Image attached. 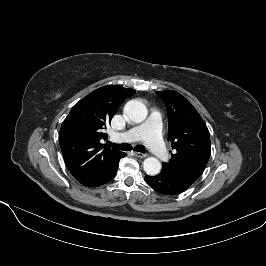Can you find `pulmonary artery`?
Instances as JSON below:
<instances>
[{"mask_svg":"<svg viewBox=\"0 0 266 266\" xmlns=\"http://www.w3.org/2000/svg\"><path fill=\"white\" fill-rule=\"evenodd\" d=\"M115 139L124 142L143 140L157 158L168 159V153L161 138V114L158 111L152 112L144 123L117 134Z\"/></svg>","mask_w":266,"mask_h":266,"instance_id":"obj_1","label":"pulmonary artery"}]
</instances>
